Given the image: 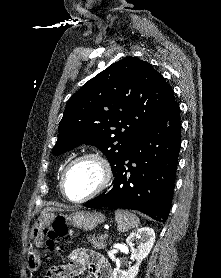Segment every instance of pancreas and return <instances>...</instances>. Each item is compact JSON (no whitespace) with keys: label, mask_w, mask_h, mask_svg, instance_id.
<instances>
[{"label":"pancreas","mask_w":221,"mask_h":278,"mask_svg":"<svg viewBox=\"0 0 221 278\" xmlns=\"http://www.w3.org/2000/svg\"><path fill=\"white\" fill-rule=\"evenodd\" d=\"M89 243L92 245V247L94 249H97V250H103L105 247H106V239H107V236H97L95 237L94 235L93 236H89L87 237Z\"/></svg>","instance_id":"pancreas-1"}]
</instances>
